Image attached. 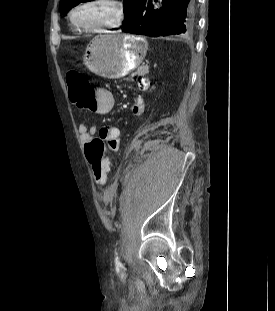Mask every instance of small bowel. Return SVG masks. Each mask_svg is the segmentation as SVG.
<instances>
[{"label": "small bowel", "mask_w": 275, "mask_h": 311, "mask_svg": "<svg viewBox=\"0 0 275 311\" xmlns=\"http://www.w3.org/2000/svg\"><path fill=\"white\" fill-rule=\"evenodd\" d=\"M139 93H150L154 85L153 80H140ZM114 106L112 94L106 89H99L96 97L90 102L89 105H84V112H93L96 114H107ZM144 103L141 96H136L133 101L132 110L134 114H141L143 112ZM119 128L114 125H106L98 128L96 125H88L87 120L79 125L80 139L83 143L88 142L93 136L99 134L109 145L110 148L116 150L119 148Z\"/></svg>", "instance_id": "obj_1"}]
</instances>
